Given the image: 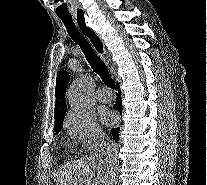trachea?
I'll return each mask as SVG.
<instances>
[{
  "label": "trachea",
  "instance_id": "obj_1",
  "mask_svg": "<svg viewBox=\"0 0 207 185\" xmlns=\"http://www.w3.org/2000/svg\"><path fill=\"white\" fill-rule=\"evenodd\" d=\"M59 18L66 26L70 37L81 47L86 59L88 60L93 70L100 75V77L108 87L116 89L115 83L109 75L108 68L106 67L105 63H103L102 60L98 57V55H96L92 47L89 45V42L76 28L74 21L71 18L61 16H59ZM80 29L81 32L87 37H89L92 42H95L96 49L99 52H102V43L100 39L97 37V35L93 32V30L88 28L85 22H82Z\"/></svg>",
  "mask_w": 207,
  "mask_h": 185
}]
</instances>
